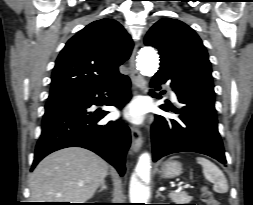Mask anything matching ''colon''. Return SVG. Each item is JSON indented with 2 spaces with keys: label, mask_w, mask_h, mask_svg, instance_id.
Listing matches in <instances>:
<instances>
[{
  "label": "colon",
  "mask_w": 253,
  "mask_h": 205,
  "mask_svg": "<svg viewBox=\"0 0 253 205\" xmlns=\"http://www.w3.org/2000/svg\"><path fill=\"white\" fill-rule=\"evenodd\" d=\"M201 199L204 205H221L213 193L207 188H203Z\"/></svg>",
  "instance_id": "obj_1"
}]
</instances>
